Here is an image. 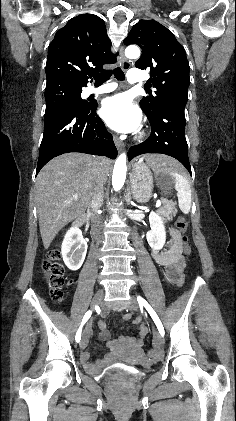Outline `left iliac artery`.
Listing matches in <instances>:
<instances>
[{
    "mask_svg": "<svg viewBox=\"0 0 236 421\" xmlns=\"http://www.w3.org/2000/svg\"><path fill=\"white\" fill-rule=\"evenodd\" d=\"M137 301L139 303V306H144L146 308V310L148 311V313L150 314V316L152 317L154 323L156 324L160 334L162 336H164V328L163 325L159 319V317L157 316L156 312L154 311V309L148 304V302L143 299L141 296H137Z\"/></svg>",
    "mask_w": 236,
    "mask_h": 421,
    "instance_id": "1",
    "label": "left iliac artery"
}]
</instances>
